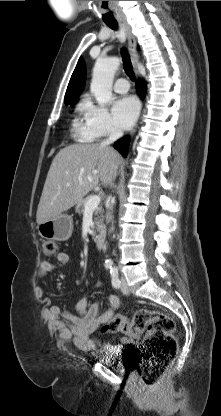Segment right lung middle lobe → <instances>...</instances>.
Instances as JSON below:
<instances>
[{
    "label": "right lung middle lobe",
    "instance_id": "obj_1",
    "mask_svg": "<svg viewBox=\"0 0 221 416\" xmlns=\"http://www.w3.org/2000/svg\"><path fill=\"white\" fill-rule=\"evenodd\" d=\"M75 103H76V101L75 102H69V103H65L66 105H70V106H73V105H75Z\"/></svg>",
    "mask_w": 221,
    "mask_h": 416
}]
</instances>
